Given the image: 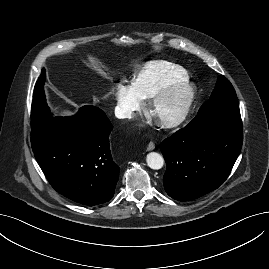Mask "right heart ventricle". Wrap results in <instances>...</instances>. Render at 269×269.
I'll return each instance as SVG.
<instances>
[{"mask_svg": "<svg viewBox=\"0 0 269 269\" xmlns=\"http://www.w3.org/2000/svg\"><path fill=\"white\" fill-rule=\"evenodd\" d=\"M187 79L188 74L182 67L165 61H153L141 69L132 85L140 97L147 100L159 91Z\"/></svg>", "mask_w": 269, "mask_h": 269, "instance_id": "obj_1", "label": "right heart ventricle"}]
</instances>
